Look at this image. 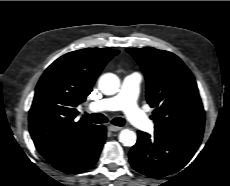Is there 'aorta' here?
Returning a JSON list of instances; mask_svg holds the SVG:
<instances>
[{
  "mask_svg": "<svg viewBox=\"0 0 230 186\" xmlns=\"http://www.w3.org/2000/svg\"><path fill=\"white\" fill-rule=\"evenodd\" d=\"M98 85L103 94L113 95L119 90L120 80L115 74L106 73L100 77ZM136 139V133L130 129H123L119 134V141L124 146H133L136 143Z\"/></svg>",
  "mask_w": 230,
  "mask_h": 186,
  "instance_id": "aorta-1",
  "label": "aorta"
}]
</instances>
